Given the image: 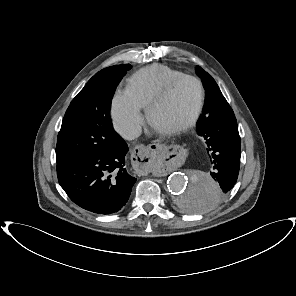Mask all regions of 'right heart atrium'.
I'll use <instances>...</instances> for the list:
<instances>
[{
	"label": "right heart atrium",
	"instance_id": "1",
	"mask_svg": "<svg viewBox=\"0 0 296 296\" xmlns=\"http://www.w3.org/2000/svg\"><path fill=\"white\" fill-rule=\"evenodd\" d=\"M111 117L115 129L125 138H134L143 123L142 108L125 90H117L111 101Z\"/></svg>",
	"mask_w": 296,
	"mask_h": 296
}]
</instances>
